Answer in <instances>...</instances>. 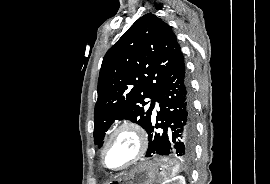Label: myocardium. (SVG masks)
<instances>
[{
  "mask_svg": "<svg viewBox=\"0 0 270 184\" xmlns=\"http://www.w3.org/2000/svg\"><path fill=\"white\" fill-rule=\"evenodd\" d=\"M124 130H129L131 131L136 139H137V151L136 154L134 155V157L129 160L126 164H124L121 167L118 168H111L106 164V152L109 148V146L111 145L112 141L114 140V138L122 131ZM147 147H148V138H147V134L145 132V130L143 129V127L133 121V120H126L123 121L121 124H119L114 130L113 132L109 135L107 141L105 142L102 151H101V162L102 165L111 170V171H122L125 169H128L129 167L133 166L134 164H136L139 160H141V158L145 155L146 151H147Z\"/></svg>",
  "mask_w": 270,
  "mask_h": 184,
  "instance_id": "f54148a6",
  "label": "myocardium"
}]
</instances>
